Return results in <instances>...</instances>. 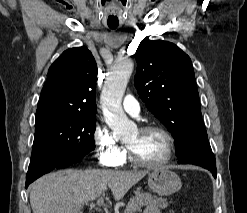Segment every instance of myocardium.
I'll use <instances>...</instances> for the list:
<instances>
[{
  "label": "myocardium",
  "instance_id": "1",
  "mask_svg": "<svg viewBox=\"0 0 247 213\" xmlns=\"http://www.w3.org/2000/svg\"><path fill=\"white\" fill-rule=\"evenodd\" d=\"M138 130L141 133L150 132V131L160 132L166 140V146H167L166 153H165V156L163 157V159L160 160L159 162L149 163V162H145V161L139 159L136 156V154L134 153V151L132 150V148L130 146L126 145V150H127V155H128L129 161L136 166H139L142 168H147V169H158V168H162L163 166L168 164L170 162V160L172 159L173 154H174V150H175V142H174V138L171 135V133L166 128H164L163 126L156 125V124L143 125Z\"/></svg>",
  "mask_w": 247,
  "mask_h": 213
}]
</instances>
